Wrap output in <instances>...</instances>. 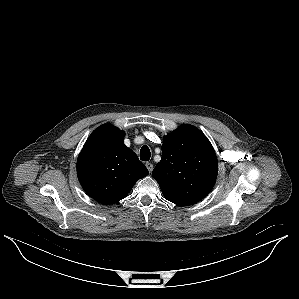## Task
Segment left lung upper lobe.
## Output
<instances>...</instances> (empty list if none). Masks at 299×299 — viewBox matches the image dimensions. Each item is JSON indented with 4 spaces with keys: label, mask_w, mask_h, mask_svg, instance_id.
<instances>
[{
    "label": "left lung upper lobe",
    "mask_w": 299,
    "mask_h": 299,
    "mask_svg": "<svg viewBox=\"0 0 299 299\" xmlns=\"http://www.w3.org/2000/svg\"><path fill=\"white\" fill-rule=\"evenodd\" d=\"M215 151L196 127L184 124L164 137L161 161L152 175L165 198L177 205H191L212 190L218 173Z\"/></svg>",
    "instance_id": "left-lung-upper-lobe-1"
}]
</instances>
